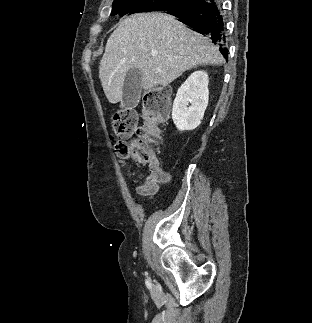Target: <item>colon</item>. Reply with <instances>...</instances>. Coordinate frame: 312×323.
Returning <instances> with one entry per match:
<instances>
[{
	"mask_svg": "<svg viewBox=\"0 0 312 323\" xmlns=\"http://www.w3.org/2000/svg\"><path fill=\"white\" fill-rule=\"evenodd\" d=\"M167 90L157 88L149 97L146 123L138 125V115L134 108L123 107L112 116V136L120 141L119 158H132L139 164L158 168L154 161L153 145L161 140L159 125L164 123Z\"/></svg>",
	"mask_w": 312,
	"mask_h": 323,
	"instance_id": "5ec220e1",
	"label": "colon"
}]
</instances>
